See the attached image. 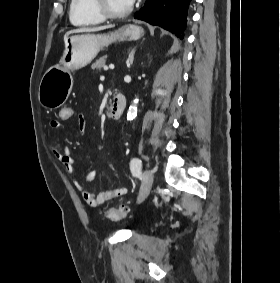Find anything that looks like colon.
<instances>
[{
    "mask_svg": "<svg viewBox=\"0 0 280 283\" xmlns=\"http://www.w3.org/2000/svg\"><path fill=\"white\" fill-rule=\"evenodd\" d=\"M73 112H76V107L73 104H64L58 108L57 119L60 122H71ZM127 214V209L125 208H109L106 212V218L110 221H118Z\"/></svg>",
    "mask_w": 280,
    "mask_h": 283,
    "instance_id": "5ec220e1",
    "label": "colon"
}]
</instances>
